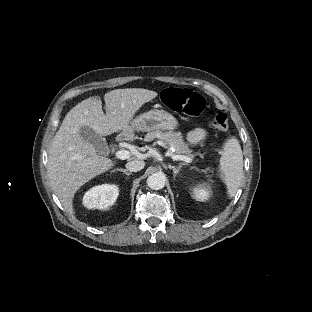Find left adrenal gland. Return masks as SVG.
<instances>
[{
	"label": "left adrenal gland",
	"instance_id": "left-adrenal-gland-1",
	"mask_svg": "<svg viewBox=\"0 0 312 312\" xmlns=\"http://www.w3.org/2000/svg\"><path fill=\"white\" fill-rule=\"evenodd\" d=\"M179 167H181V165H179ZM168 168H170V169H172L173 170V177H174V179L176 178V176H178V174H179V172H180V170L179 169H176V167L175 166H168Z\"/></svg>",
	"mask_w": 312,
	"mask_h": 312
}]
</instances>
